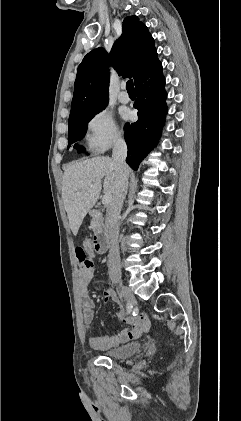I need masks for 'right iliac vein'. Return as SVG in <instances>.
Returning a JSON list of instances; mask_svg holds the SVG:
<instances>
[{
  "label": "right iliac vein",
  "mask_w": 241,
  "mask_h": 421,
  "mask_svg": "<svg viewBox=\"0 0 241 421\" xmlns=\"http://www.w3.org/2000/svg\"><path fill=\"white\" fill-rule=\"evenodd\" d=\"M115 283L120 288L121 293L126 299L127 303L133 307L136 304V299L132 291L128 287L124 286L120 281H115Z\"/></svg>",
  "instance_id": "63e3f726"
}]
</instances>
